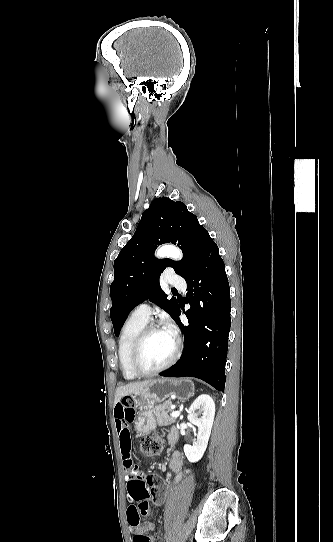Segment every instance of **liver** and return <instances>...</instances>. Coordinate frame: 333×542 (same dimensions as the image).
<instances>
[{
    "label": "liver",
    "mask_w": 333,
    "mask_h": 542,
    "mask_svg": "<svg viewBox=\"0 0 333 542\" xmlns=\"http://www.w3.org/2000/svg\"><path fill=\"white\" fill-rule=\"evenodd\" d=\"M151 380H146V382H130L126 386H120L115 392L114 406L124 398V396H130V394H137L140 390H144L146 386H149Z\"/></svg>",
    "instance_id": "1"
}]
</instances>
